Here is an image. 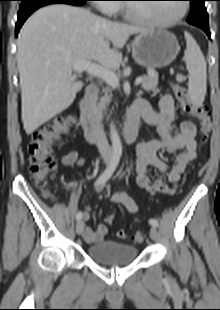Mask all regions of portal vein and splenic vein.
Segmentation results:
<instances>
[{
    "label": "portal vein and splenic vein",
    "instance_id": "1",
    "mask_svg": "<svg viewBox=\"0 0 220 310\" xmlns=\"http://www.w3.org/2000/svg\"><path fill=\"white\" fill-rule=\"evenodd\" d=\"M74 71L81 73L86 71L92 76L103 79L111 87L116 88L119 85V80L116 77L115 73L107 68H104L100 65L94 64L90 61H78L73 64ZM143 78L138 77L135 81V85L138 86L142 83Z\"/></svg>",
    "mask_w": 220,
    "mask_h": 310
}]
</instances>
